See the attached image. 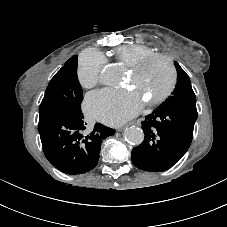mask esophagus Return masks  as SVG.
I'll list each match as a JSON object with an SVG mask.
<instances>
[{"instance_id":"esophagus-1","label":"esophagus","mask_w":227,"mask_h":227,"mask_svg":"<svg viewBox=\"0 0 227 227\" xmlns=\"http://www.w3.org/2000/svg\"><path fill=\"white\" fill-rule=\"evenodd\" d=\"M135 124L136 125H140V121L139 120H137V121H130V123L128 122V123H126V124H124V126L123 127H120V128H118L117 129V131L118 132H122L124 129H129V128H131V126L133 127V126H135Z\"/></svg>"}]
</instances>
